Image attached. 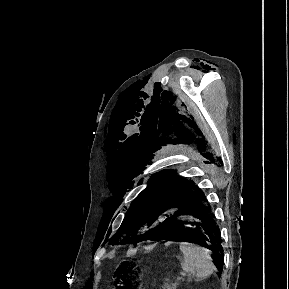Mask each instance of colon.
<instances>
[{"label": "colon", "instance_id": "obj_1", "mask_svg": "<svg viewBox=\"0 0 289 289\" xmlns=\"http://www.w3.org/2000/svg\"><path fill=\"white\" fill-rule=\"evenodd\" d=\"M141 271L134 265L130 264L125 269L118 272L115 285L117 289H140Z\"/></svg>", "mask_w": 289, "mask_h": 289}]
</instances>
